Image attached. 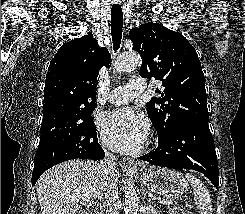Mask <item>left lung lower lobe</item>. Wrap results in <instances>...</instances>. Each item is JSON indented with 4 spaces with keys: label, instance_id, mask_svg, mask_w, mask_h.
Masks as SVG:
<instances>
[{
    "label": "left lung lower lobe",
    "instance_id": "1",
    "mask_svg": "<svg viewBox=\"0 0 245 214\" xmlns=\"http://www.w3.org/2000/svg\"><path fill=\"white\" fill-rule=\"evenodd\" d=\"M140 159L150 165L201 172L218 189L217 156L208 121L189 122L166 140L158 139V147Z\"/></svg>",
    "mask_w": 245,
    "mask_h": 214
}]
</instances>
